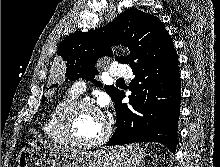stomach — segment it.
Here are the masks:
<instances>
[{"mask_svg":"<svg viewBox=\"0 0 220 167\" xmlns=\"http://www.w3.org/2000/svg\"><path fill=\"white\" fill-rule=\"evenodd\" d=\"M144 157L137 145L85 152L36 141L21 149L16 163L17 167H139Z\"/></svg>","mask_w":220,"mask_h":167,"instance_id":"obj_1","label":"stomach"}]
</instances>
